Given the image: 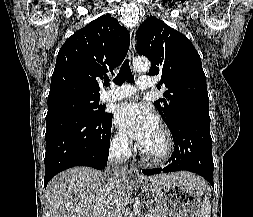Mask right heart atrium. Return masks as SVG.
Wrapping results in <instances>:
<instances>
[{
  "mask_svg": "<svg viewBox=\"0 0 253 217\" xmlns=\"http://www.w3.org/2000/svg\"><path fill=\"white\" fill-rule=\"evenodd\" d=\"M112 145L114 149L121 154H127L129 152L130 143L125 134L122 132H116L112 138Z\"/></svg>",
  "mask_w": 253,
  "mask_h": 217,
  "instance_id": "right-heart-atrium-1",
  "label": "right heart atrium"
}]
</instances>
